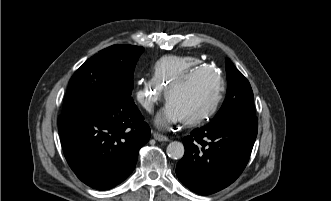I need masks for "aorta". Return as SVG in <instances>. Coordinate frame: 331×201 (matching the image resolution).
Wrapping results in <instances>:
<instances>
[{"instance_id": "obj_1", "label": "aorta", "mask_w": 331, "mask_h": 201, "mask_svg": "<svg viewBox=\"0 0 331 201\" xmlns=\"http://www.w3.org/2000/svg\"><path fill=\"white\" fill-rule=\"evenodd\" d=\"M166 152L172 159H181L184 156L185 148L181 142L173 141L168 144Z\"/></svg>"}]
</instances>
